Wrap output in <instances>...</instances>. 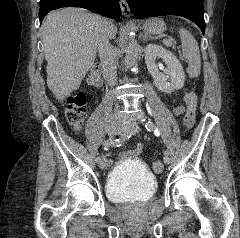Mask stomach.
<instances>
[{"label": "stomach", "mask_w": 240, "mask_h": 238, "mask_svg": "<svg viewBox=\"0 0 240 238\" xmlns=\"http://www.w3.org/2000/svg\"><path fill=\"white\" fill-rule=\"evenodd\" d=\"M144 31L150 34H160L166 29V25L162 19H148L143 24Z\"/></svg>", "instance_id": "stomach-1"}]
</instances>
